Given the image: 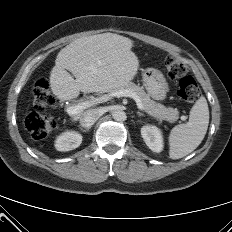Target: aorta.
Masks as SVG:
<instances>
[{
	"mask_svg": "<svg viewBox=\"0 0 232 232\" xmlns=\"http://www.w3.org/2000/svg\"><path fill=\"white\" fill-rule=\"evenodd\" d=\"M112 116L114 118V120L116 121H125L127 116H126V113L122 110H115L113 113H112Z\"/></svg>",
	"mask_w": 232,
	"mask_h": 232,
	"instance_id": "762f6f07",
	"label": "aorta"
}]
</instances>
